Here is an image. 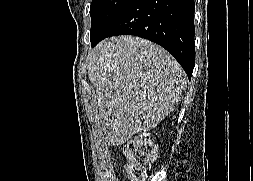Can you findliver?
<instances>
[{
    "mask_svg": "<svg viewBox=\"0 0 253 181\" xmlns=\"http://www.w3.org/2000/svg\"><path fill=\"white\" fill-rule=\"evenodd\" d=\"M96 89L95 124L109 145L155 128L180 101L186 75L162 47L123 35L99 43L87 57Z\"/></svg>",
    "mask_w": 253,
    "mask_h": 181,
    "instance_id": "1",
    "label": "liver"
}]
</instances>
